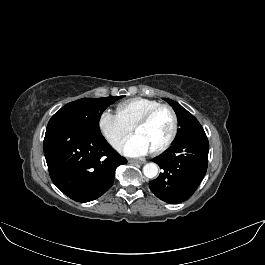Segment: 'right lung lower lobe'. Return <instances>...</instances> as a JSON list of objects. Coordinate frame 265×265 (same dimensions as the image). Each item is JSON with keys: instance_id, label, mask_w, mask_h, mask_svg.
Listing matches in <instances>:
<instances>
[{"instance_id": "1", "label": "right lung lower lobe", "mask_w": 265, "mask_h": 265, "mask_svg": "<svg viewBox=\"0 0 265 265\" xmlns=\"http://www.w3.org/2000/svg\"><path fill=\"white\" fill-rule=\"evenodd\" d=\"M43 147L53 183L78 202L103 195L113 184L116 168L127 163L101 133L70 124L47 126Z\"/></svg>"}]
</instances>
